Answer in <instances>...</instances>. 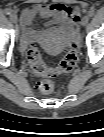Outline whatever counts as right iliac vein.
I'll list each match as a JSON object with an SVG mask.
<instances>
[{"instance_id":"1","label":"right iliac vein","mask_w":104,"mask_h":137,"mask_svg":"<svg viewBox=\"0 0 104 137\" xmlns=\"http://www.w3.org/2000/svg\"><path fill=\"white\" fill-rule=\"evenodd\" d=\"M10 20H11L13 23H17V21H18L17 15H16V14H11V15H10Z\"/></svg>"}]
</instances>
